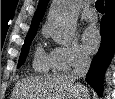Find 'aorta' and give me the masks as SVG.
<instances>
[{
  "mask_svg": "<svg viewBox=\"0 0 115 99\" xmlns=\"http://www.w3.org/2000/svg\"><path fill=\"white\" fill-rule=\"evenodd\" d=\"M79 4L73 0H54L49 13V27L54 40L68 45L74 36Z\"/></svg>",
  "mask_w": 115,
  "mask_h": 99,
  "instance_id": "aorta-1",
  "label": "aorta"
}]
</instances>
